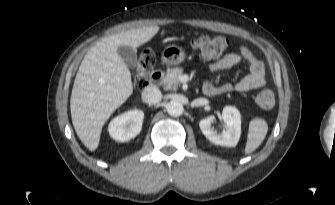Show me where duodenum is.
I'll use <instances>...</instances> for the list:
<instances>
[{
    "label": "duodenum",
    "instance_id": "410a0bca",
    "mask_svg": "<svg viewBox=\"0 0 335 205\" xmlns=\"http://www.w3.org/2000/svg\"><path fill=\"white\" fill-rule=\"evenodd\" d=\"M162 78H163V70L162 69H156L150 75V84L152 86H158L161 83ZM202 92L205 95H215L216 90L213 89L212 87L204 86L202 88Z\"/></svg>",
    "mask_w": 335,
    "mask_h": 205
}]
</instances>
